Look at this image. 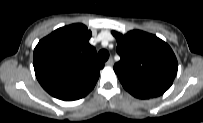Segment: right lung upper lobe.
Listing matches in <instances>:
<instances>
[{
	"label": "right lung upper lobe",
	"mask_w": 203,
	"mask_h": 123,
	"mask_svg": "<svg viewBox=\"0 0 203 123\" xmlns=\"http://www.w3.org/2000/svg\"><path fill=\"white\" fill-rule=\"evenodd\" d=\"M91 36L85 25L77 23L53 31L35 47L36 78L53 97L76 100L94 88L104 64L96 60Z\"/></svg>",
	"instance_id": "1"
}]
</instances>
